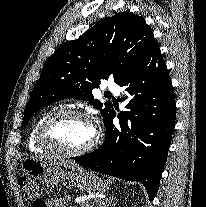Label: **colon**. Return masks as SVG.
<instances>
[{"label": "colon", "instance_id": "obj_1", "mask_svg": "<svg viewBox=\"0 0 206 207\" xmlns=\"http://www.w3.org/2000/svg\"><path fill=\"white\" fill-rule=\"evenodd\" d=\"M18 182L26 199L31 201L32 207H46L45 201L38 196L37 184L32 178L20 175Z\"/></svg>", "mask_w": 206, "mask_h": 207}]
</instances>
